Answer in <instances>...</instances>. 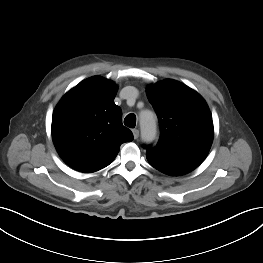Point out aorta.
<instances>
[{
    "label": "aorta",
    "mask_w": 263,
    "mask_h": 263,
    "mask_svg": "<svg viewBox=\"0 0 263 263\" xmlns=\"http://www.w3.org/2000/svg\"><path fill=\"white\" fill-rule=\"evenodd\" d=\"M141 138L145 143L154 141L157 137L156 116L151 111H143L139 115Z\"/></svg>",
    "instance_id": "1"
}]
</instances>
